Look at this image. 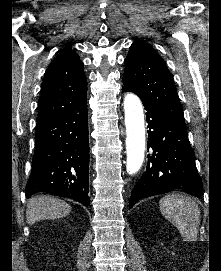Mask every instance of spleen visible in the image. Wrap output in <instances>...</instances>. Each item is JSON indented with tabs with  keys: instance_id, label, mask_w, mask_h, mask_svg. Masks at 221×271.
I'll return each instance as SVG.
<instances>
[{
	"instance_id": "3e777b00",
	"label": "spleen",
	"mask_w": 221,
	"mask_h": 271,
	"mask_svg": "<svg viewBox=\"0 0 221 271\" xmlns=\"http://www.w3.org/2000/svg\"><path fill=\"white\" fill-rule=\"evenodd\" d=\"M159 205L164 217L179 229L183 241H196L201 211L194 199L174 193L162 197Z\"/></svg>"
}]
</instances>
